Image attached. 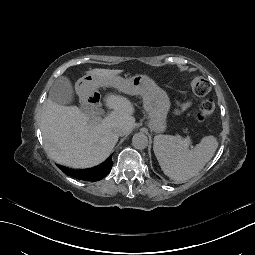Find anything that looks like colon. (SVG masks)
Masks as SVG:
<instances>
[{"label": "colon", "instance_id": "1", "mask_svg": "<svg viewBox=\"0 0 255 255\" xmlns=\"http://www.w3.org/2000/svg\"><path fill=\"white\" fill-rule=\"evenodd\" d=\"M190 85L193 92L198 96H205L210 91L209 82L202 77H193L190 80ZM215 103L211 99H206L202 101L199 107L198 119L199 120H207L211 118L214 114Z\"/></svg>", "mask_w": 255, "mask_h": 255}]
</instances>
